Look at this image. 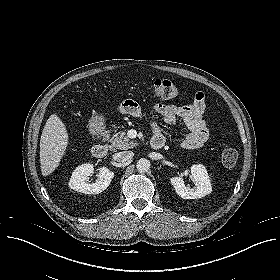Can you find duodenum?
Segmentation results:
<instances>
[{"mask_svg": "<svg viewBox=\"0 0 280 280\" xmlns=\"http://www.w3.org/2000/svg\"><path fill=\"white\" fill-rule=\"evenodd\" d=\"M164 139L162 137H153L151 140V147L155 150L162 149L164 147ZM108 147L102 142H98L92 147L93 157L100 159L107 155Z\"/></svg>", "mask_w": 280, "mask_h": 280, "instance_id": "1", "label": "duodenum"}]
</instances>
